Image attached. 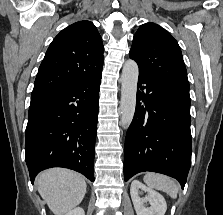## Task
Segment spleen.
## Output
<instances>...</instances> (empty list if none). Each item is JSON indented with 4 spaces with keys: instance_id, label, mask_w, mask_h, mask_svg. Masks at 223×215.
Listing matches in <instances>:
<instances>
[{
    "instance_id": "3e777b00",
    "label": "spleen",
    "mask_w": 223,
    "mask_h": 215,
    "mask_svg": "<svg viewBox=\"0 0 223 215\" xmlns=\"http://www.w3.org/2000/svg\"><path fill=\"white\" fill-rule=\"evenodd\" d=\"M144 181L147 185H150V187L166 191L171 197H177L179 185L174 179L167 177V175H161V173H146V175H144Z\"/></svg>"
}]
</instances>
